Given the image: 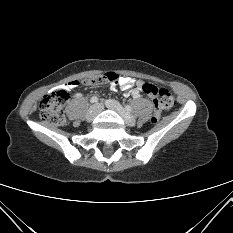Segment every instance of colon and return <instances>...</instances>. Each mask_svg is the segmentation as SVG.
I'll return each instance as SVG.
<instances>
[{
  "label": "colon",
  "mask_w": 233,
  "mask_h": 233,
  "mask_svg": "<svg viewBox=\"0 0 233 233\" xmlns=\"http://www.w3.org/2000/svg\"><path fill=\"white\" fill-rule=\"evenodd\" d=\"M104 74L105 73H101L88 77L82 81V84L87 86L110 84L111 80H105ZM142 90L147 95H151L154 99L156 115L152 118V123L157 121L158 115L161 112L168 111L175 105L174 96L166 88H158L152 84L145 83ZM67 101L68 93L63 89L45 95L40 103V117L53 125L59 126L64 124V106Z\"/></svg>",
  "instance_id": "colon-1"
}]
</instances>
